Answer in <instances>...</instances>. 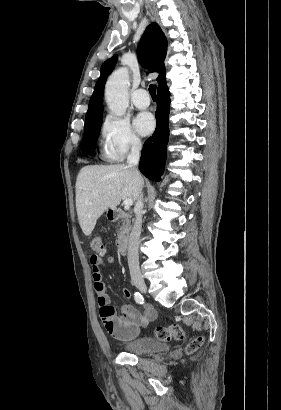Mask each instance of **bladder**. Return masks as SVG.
<instances>
[{
    "instance_id": "bladder-1",
    "label": "bladder",
    "mask_w": 281,
    "mask_h": 410,
    "mask_svg": "<svg viewBox=\"0 0 281 410\" xmlns=\"http://www.w3.org/2000/svg\"><path fill=\"white\" fill-rule=\"evenodd\" d=\"M123 350L134 355H147L169 350V346L156 338L143 336L125 344Z\"/></svg>"
}]
</instances>
